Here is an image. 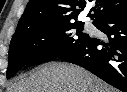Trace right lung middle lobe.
<instances>
[{
  "label": "right lung middle lobe",
  "instance_id": "dd1d6c3e",
  "mask_svg": "<svg viewBox=\"0 0 127 92\" xmlns=\"http://www.w3.org/2000/svg\"><path fill=\"white\" fill-rule=\"evenodd\" d=\"M84 23L76 22L61 26L33 27L14 38L9 47L7 79L20 68L33 63L57 58L85 42Z\"/></svg>",
  "mask_w": 127,
  "mask_h": 92
}]
</instances>
